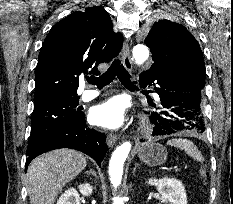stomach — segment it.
Masks as SVG:
<instances>
[{
    "label": "stomach",
    "instance_id": "1",
    "mask_svg": "<svg viewBox=\"0 0 233 204\" xmlns=\"http://www.w3.org/2000/svg\"><path fill=\"white\" fill-rule=\"evenodd\" d=\"M167 150L161 144L147 143L138 151V157L148 166H159L167 160Z\"/></svg>",
    "mask_w": 233,
    "mask_h": 204
}]
</instances>
